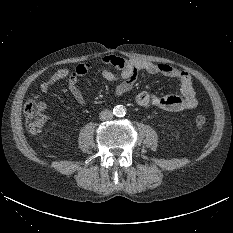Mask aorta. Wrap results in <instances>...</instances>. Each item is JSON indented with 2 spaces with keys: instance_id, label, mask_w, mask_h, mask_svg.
<instances>
[{
  "instance_id": "obj_1",
  "label": "aorta",
  "mask_w": 233,
  "mask_h": 233,
  "mask_svg": "<svg viewBox=\"0 0 233 233\" xmlns=\"http://www.w3.org/2000/svg\"><path fill=\"white\" fill-rule=\"evenodd\" d=\"M113 113L114 115H116L117 117H123L126 114V109L124 106L122 105H117L115 106V108L113 109Z\"/></svg>"
}]
</instances>
